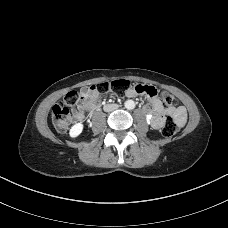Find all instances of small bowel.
Masks as SVG:
<instances>
[{
  "instance_id": "small-bowel-1",
  "label": "small bowel",
  "mask_w": 228,
  "mask_h": 228,
  "mask_svg": "<svg viewBox=\"0 0 228 228\" xmlns=\"http://www.w3.org/2000/svg\"><path fill=\"white\" fill-rule=\"evenodd\" d=\"M82 97L77 104L76 108V120L81 122L84 119V113L86 111H93L98 107V99L100 97L99 91L94 88V86L85 87L81 89ZM125 95L129 98H133L137 95V93L133 89H127ZM153 109L155 110L156 114L151 119V124L154 129L159 130L162 128L164 124V116L165 109L162 106L160 100L154 97L151 100ZM174 115L178 124L183 125L187 119V112L183 106H179L171 111Z\"/></svg>"
}]
</instances>
